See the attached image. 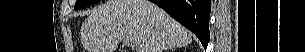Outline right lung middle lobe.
Returning a JSON list of instances; mask_svg holds the SVG:
<instances>
[{"label": "right lung middle lobe", "mask_w": 305, "mask_h": 52, "mask_svg": "<svg viewBox=\"0 0 305 52\" xmlns=\"http://www.w3.org/2000/svg\"><path fill=\"white\" fill-rule=\"evenodd\" d=\"M100 0H77L75 4V9H82L84 7L90 6L94 3L99 2Z\"/></svg>", "instance_id": "dd1d6c3e"}]
</instances>
